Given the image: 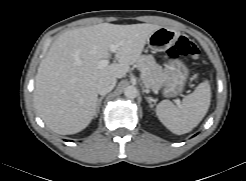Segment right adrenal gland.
<instances>
[{
	"instance_id": "right-adrenal-gland-1",
	"label": "right adrenal gland",
	"mask_w": 246,
	"mask_h": 181,
	"mask_svg": "<svg viewBox=\"0 0 246 181\" xmlns=\"http://www.w3.org/2000/svg\"><path fill=\"white\" fill-rule=\"evenodd\" d=\"M104 97H105V95H102L99 99H98V101H97V110H96V116H97V113H99V111H100V106H101V103H102V100L104 99Z\"/></svg>"
}]
</instances>
